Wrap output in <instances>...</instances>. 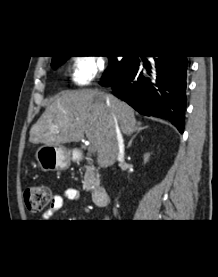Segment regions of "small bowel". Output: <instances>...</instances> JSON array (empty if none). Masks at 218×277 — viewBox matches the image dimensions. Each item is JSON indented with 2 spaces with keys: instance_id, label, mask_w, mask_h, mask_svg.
<instances>
[{
  "instance_id": "1",
  "label": "small bowel",
  "mask_w": 218,
  "mask_h": 277,
  "mask_svg": "<svg viewBox=\"0 0 218 277\" xmlns=\"http://www.w3.org/2000/svg\"><path fill=\"white\" fill-rule=\"evenodd\" d=\"M82 196L81 193L78 189L70 187L66 188L63 191V194H58L55 195L52 198L51 204L49 209L45 212L44 217L49 218L51 217L54 213L58 212L61 210L64 206L65 200H70V201H78L81 200Z\"/></svg>"
}]
</instances>
